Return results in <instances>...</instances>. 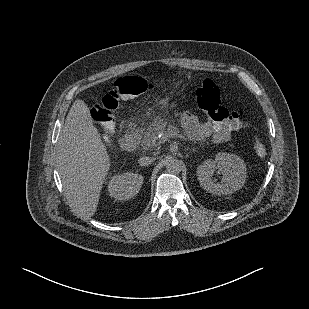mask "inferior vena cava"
<instances>
[{"label": "inferior vena cava", "mask_w": 309, "mask_h": 309, "mask_svg": "<svg viewBox=\"0 0 309 309\" xmlns=\"http://www.w3.org/2000/svg\"><path fill=\"white\" fill-rule=\"evenodd\" d=\"M155 161L153 157L142 156L139 158L138 163L140 166H148Z\"/></svg>", "instance_id": "602c4592"}]
</instances>
